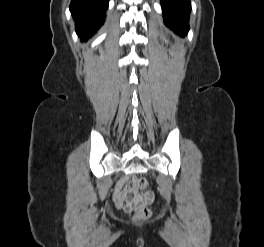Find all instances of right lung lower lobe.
I'll return each mask as SVG.
<instances>
[{
	"mask_svg": "<svg viewBox=\"0 0 264 247\" xmlns=\"http://www.w3.org/2000/svg\"><path fill=\"white\" fill-rule=\"evenodd\" d=\"M108 2L109 0H71L70 11L81 41H87L103 25Z\"/></svg>",
	"mask_w": 264,
	"mask_h": 247,
	"instance_id": "1",
	"label": "right lung lower lobe"
}]
</instances>
